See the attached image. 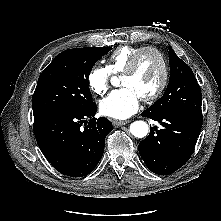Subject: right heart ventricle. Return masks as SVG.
I'll return each mask as SVG.
<instances>
[{"label":"right heart ventricle","instance_id":"obj_1","mask_svg":"<svg viewBox=\"0 0 221 221\" xmlns=\"http://www.w3.org/2000/svg\"><path fill=\"white\" fill-rule=\"evenodd\" d=\"M143 46H121L117 48L110 56L107 68L111 73L122 74L127 68L133 55Z\"/></svg>","mask_w":221,"mask_h":221}]
</instances>
